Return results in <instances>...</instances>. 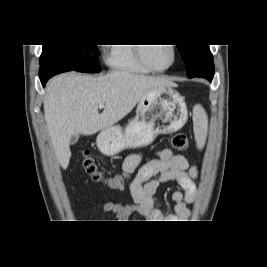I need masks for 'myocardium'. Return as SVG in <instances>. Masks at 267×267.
<instances>
[{
	"label": "myocardium",
	"instance_id": "myocardium-1",
	"mask_svg": "<svg viewBox=\"0 0 267 267\" xmlns=\"http://www.w3.org/2000/svg\"><path fill=\"white\" fill-rule=\"evenodd\" d=\"M169 45L171 47L172 55H173L172 56V61L168 66H166L164 68L155 67L149 62V60L147 59V56H146V47H147L146 44H139V46H137L138 58L141 61V63L143 65H145L151 71H154V72H165V71L171 69L174 66V64L176 62V59H177L176 46L174 44H169Z\"/></svg>",
	"mask_w": 267,
	"mask_h": 267
}]
</instances>
